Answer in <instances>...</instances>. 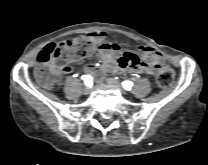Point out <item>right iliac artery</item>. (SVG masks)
<instances>
[{
    "mask_svg": "<svg viewBox=\"0 0 208 165\" xmlns=\"http://www.w3.org/2000/svg\"><path fill=\"white\" fill-rule=\"evenodd\" d=\"M82 78L84 79V82L87 86L92 85L93 79L90 75L83 76Z\"/></svg>",
    "mask_w": 208,
    "mask_h": 165,
    "instance_id": "right-iliac-artery-1",
    "label": "right iliac artery"
}]
</instances>
